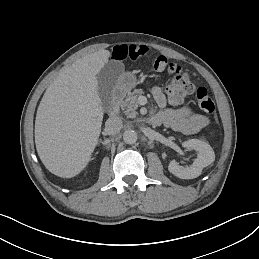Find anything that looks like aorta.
I'll return each mask as SVG.
<instances>
[{"mask_svg":"<svg viewBox=\"0 0 259 259\" xmlns=\"http://www.w3.org/2000/svg\"><path fill=\"white\" fill-rule=\"evenodd\" d=\"M137 139V133L134 130L128 129L123 133V140L127 144H134Z\"/></svg>","mask_w":259,"mask_h":259,"instance_id":"obj_1","label":"aorta"}]
</instances>
